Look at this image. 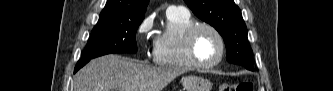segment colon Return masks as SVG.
I'll return each instance as SVG.
<instances>
[{"instance_id":"5ec220e1","label":"colon","mask_w":333,"mask_h":91,"mask_svg":"<svg viewBox=\"0 0 333 91\" xmlns=\"http://www.w3.org/2000/svg\"><path fill=\"white\" fill-rule=\"evenodd\" d=\"M221 91H253V84L249 81H243L236 84H225Z\"/></svg>"}]
</instances>
